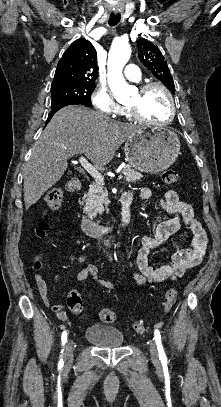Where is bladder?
<instances>
[{"instance_id": "bladder-1", "label": "bladder", "mask_w": 221, "mask_h": 407, "mask_svg": "<svg viewBox=\"0 0 221 407\" xmlns=\"http://www.w3.org/2000/svg\"><path fill=\"white\" fill-rule=\"evenodd\" d=\"M85 339L101 348H113L123 344L124 335L113 326L94 324L85 330Z\"/></svg>"}]
</instances>
